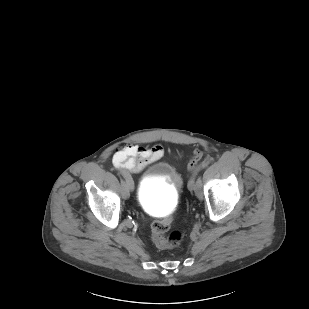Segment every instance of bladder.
<instances>
[{"label": "bladder", "mask_w": 309, "mask_h": 309, "mask_svg": "<svg viewBox=\"0 0 309 309\" xmlns=\"http://www.w3.org/2000/svg\"><path fill=\"white\" fill-rule=\"evenodd\" d=\"M182 178L176 168L165 161H154L144 168L137 188L140 206L149 212L171 216Z\"/></svg>", "instance_id": "31cf9c89"}]
</instances>
